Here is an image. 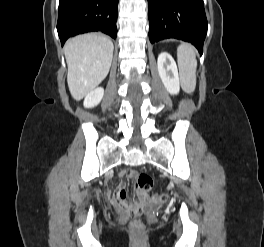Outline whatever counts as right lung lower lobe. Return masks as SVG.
<instances>
[{
	"label": "right lung lower lobe",
	"instance_id": "1",
	"mask_svg": "<svg viewBox=\"0 0 264 247\" xmlns=\"http://www.w3.org/2000/svg\"><path fill=\"white\" fill-rule=\"evenodd\" d=\"M118 0H59L57 31L62 45L72 36L101 31L116 38Z\"/></svg>",
	"mask_w": 264,
	"mask_h": 247
}]
</instances>
